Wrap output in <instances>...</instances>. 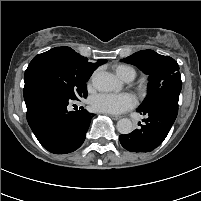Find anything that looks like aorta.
I'll list each match as a JSON object with an SVG mask.
<instances>
[{
	"instance_id": "obj_1",
	"label": "aorta",
	"mask_w": 201,
	"mask_h": 201,
	"mask_svg": "<svg viewBox=\"0 0 201 201\" xmlns=\"http://www.w3.org/2000/svg\"><path fill=\"white\" fill-rule=\"evenodd\" d=\"M92 84L100 92H110L121 88L119 81L111 73L105 71L95 72L92 76ZM117 130L121 134H129L133 131V124L127 118L120 119L117 122Z\"/></svg>"
}]
</instances>
